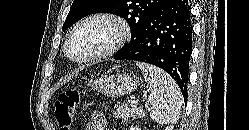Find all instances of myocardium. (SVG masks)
Here are the masks:
<instances>
[{"label":"myocardium","instance_id":"obj_1","mask_svg":"<svg viewBox=\"0 0 249 130\" xmlns=\"http://www.w3.org/2000/svg\"><path fill=\"white\" fill-rule=\"evenodd\" d=\"M95 21H105L114 24L118 29V34L116 39L107 48L98 51L96 53H93L89 56L83 58L72 57L69 53V44L73 35L81 27ZM130 37H131V28L128 22L124 18L109 13L91 14L78 21L70 30L64 43V54L69 60L80 64L101 60L103 58L114 55L118 50H120L125 45V43L130 39Z\"/></svg>","mask_w":249,"mask_h":130}]
</instances>
